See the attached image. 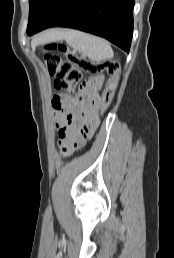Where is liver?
Here are the masks:
<instances>
[{"mask_svg":"<svg viewBox=\"0 0 174 258\" xmlns=\"http://www.w3.org/2000/svg\"><path fill=\"white\" fill-rule=\"evenodd\" d=\"M56 33H53V32H50V33H45L43 35H41L39 38H37L36 40H34L32 42V45H36L37 43L41 42V41H44V40H49V39H52L51 37L53 35H55Z\"/></svg>","mask_w":174,"mask_h":258,"instance_id":"6515ba94","label":"liver"}]
</instances>
